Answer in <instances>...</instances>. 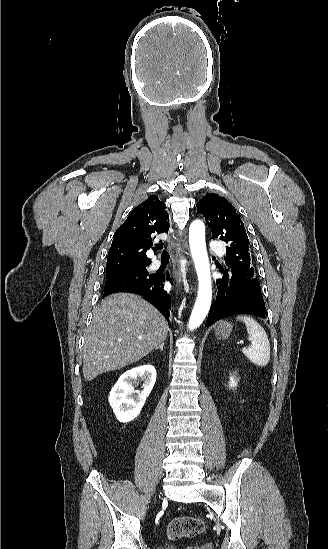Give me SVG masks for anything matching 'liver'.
I'll return each mask as SVG.
<instances>
[{
    "instance_id": "obj_1",
    "label": "liver",
    "mask_w": 328,
    "mask_h": 549,
    "mask_svg": "<svg viewBox=\"0 0 328 549\" xmlns=\"http://www.w3.org/2000/svg\"><path fill=\"white\" fill-rule=\"evenodd\" d=\"M167 333L165 317L139 295H109L94 309L85 335V381L140 361L165 341Z\"/></svg>"
}]
</instances>
